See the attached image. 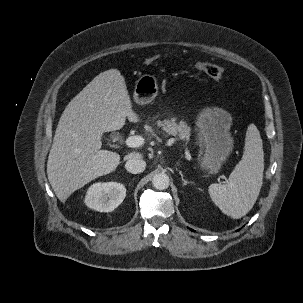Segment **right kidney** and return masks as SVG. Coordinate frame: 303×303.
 I'll return each mask as SVG.
<instances>
[{
    "mask_svg": "<svg viewBox=\"0 0 303 303\" xmlns=\"http://www.w3.org/2000/svg\"><path fill=\"white\" fill-rule=\"evenodd\" d=\"M126 196V188L117 182L95 183L85 196V204L96 211L111 212L117 208Z\"/></svg>",
    "mask_w": 303,
    "mask_h": 303,
    "instance_id": "ca27d5eb",
    "label": "right kidney"
}]
</instances>
